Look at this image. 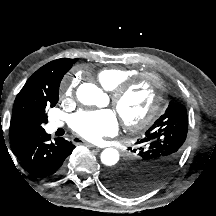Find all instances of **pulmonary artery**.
I'll use <instances>...</instances> for the list:
<instances>
[{"mask_svg": "<svg viewBox=\"0 0 216 216\" xmlns=\"http://www.w3.org/2000/svg\"><path fill=\"white\" fill-rule=\"evenodd\" d=\"M61 126H62V123L60 121H57V120H53L48 124V127L51 131H54Z\"/></svg>", "mask_w": 216, "mask_h": 216, "instance_id": "1", "label": "pulmonary artery"}]
</instances>
